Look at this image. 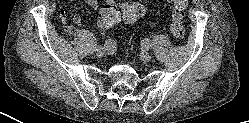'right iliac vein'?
<instances>
[{
  "label": "right iliac vein",
  "instance_id": "63e3f726",
  "mask_svg": "<svg viewBox=\"0 0 249 123\" xmlns=\"http://www.w3.org/2000/svg\"><path fill=\"white\" fill-rule=\"evenodd\" d=\"M105 51H106V48L105 47H98L97 49H96V56L97 57H101V56H103L104 55V53H105Z\"/></svg>",
  "mask_w": 249,
  "mask_h": 123
}]
</instances>
